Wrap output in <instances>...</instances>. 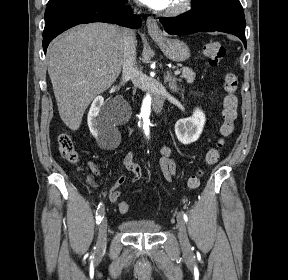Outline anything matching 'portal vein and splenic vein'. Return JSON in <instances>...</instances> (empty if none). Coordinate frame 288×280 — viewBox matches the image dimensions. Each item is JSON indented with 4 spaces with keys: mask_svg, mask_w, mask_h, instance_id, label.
<instances>
[{
    "mask_svg": "<svg viewBox=\"0 0 288 280\" xmlns=\"http://www.w3.org/2000/svg\"><path fill=\"white\" fill-rule=\"evenodd\" d=\"M174 73H175V75H178L181 73V71L177 69Z\"/></svg>",
    "mask_w": 288,
    "mask_h": 280,
    "instance_id": "obj_1",
    "label": "portal vein and splenic vein"
}]
</instances>
